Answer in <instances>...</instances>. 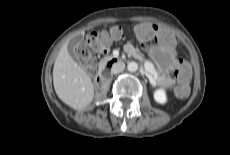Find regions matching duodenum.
<instances>
[{
    "mask_svg": "<svg viewBox=\"0 0 230 155\" xmlns=\"http://www.w3.org/2000/svg\"><path fill=\"white\" fill-rule=\"evenodd\" d=\"M115 60H110L104 64L102 70L98 73L96 78V83L98 85L103 84L107 80L106 73L108 72L109 68L115 63Z\"/></svg>",
    "mask_w": 230,
    "mask_h": 155,
    "instance_id": "obj_1",
    "label": "duodenum"
}]
</instances>
